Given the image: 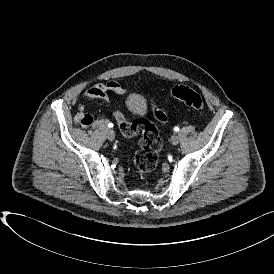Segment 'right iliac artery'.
I'll return each mask as SVG.
<instances>
[{
    "mask_svg": "<svg viewBox=\"0 0 274 274\" xmlns=\"http://www.w3.org/2000/svg\"><path fill=\"white\" fill-rule=\"evenodd\" d=\"M108 127L112 128V127H113V124H112V123H109V124H108Z\"/></svg>",
    "mask_w": 274,
    "mask_h": 274,
    "instance_id": "1",
    "label": "right iliac artery"
}]
</instances>
